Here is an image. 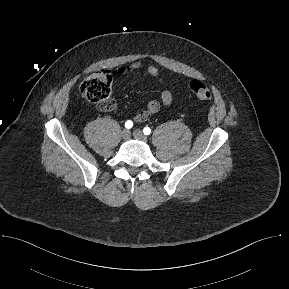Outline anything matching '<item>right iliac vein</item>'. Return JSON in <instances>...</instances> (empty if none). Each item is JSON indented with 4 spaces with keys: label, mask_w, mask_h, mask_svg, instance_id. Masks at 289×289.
<instances>
[{
    "label": "right iliac vein",
    "mask_w": 289,
    "mask_h": 289,
    "mask_svg": "<svg viewBox=\"0 0 289 289\" xmlns=\"http://www.w3.org/2000/svg\"><path fill=\"white\" fill-rule=\"evenodd\" d=\"M130 131L128 129H124L121 133V136L124 140H128L130 138Z\"/></svg>",
    "instance_id": "1"
}]
</instances>
